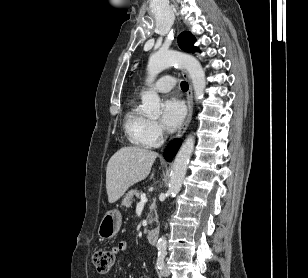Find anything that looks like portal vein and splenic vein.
Here are the masks:
<instances>
[{"label": "portal vein and splenic vein", "mask_w": 308, "mask_h": 278, "mask_svg": "<svg viewBox=\"0 0 308 278\" xmlns=\"http://www.w3.org/2000/svg\"><path fill=\"white\" fill-rule=\"evenodd\" d=\"M140 198H141V200H140L138 205H144L148 201V199H147L145 194H141Z\"/></svg>", "instance_id": "18ae733b"}]
</instances>
